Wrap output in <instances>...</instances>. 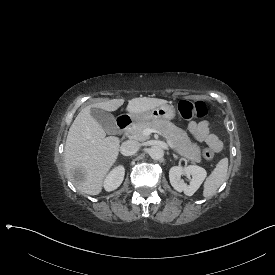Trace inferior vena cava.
Wrapping results in <instances>:
<instances>
[{
  "label": "inferior vena cava",
  "mask_w": 275,
  "mask_h": 275,
  "mask_svg": "<svg viewBox=\"0 0 275 275\" xmlns=\"http://www.w3.org/2000/svg\"><path fill=\"white\" fill-rule=\"evenodd\" d=\"M140 149V143L134 140H128L121 145V152L124 156H132Z\"/></svg>",
  "instance_id": "1"
}]
</instances>
